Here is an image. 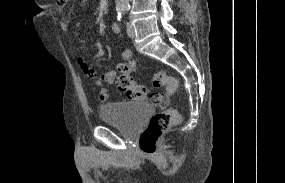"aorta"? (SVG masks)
Wrapping results in <instances>:
<instances>
[{"mask_svg":"<svg viewBox=\"0 0 285 183\" xmlns=\"http://www.w3.org/2000/svg\"><path fill=\"white\" fill-rule=\"evenodd\" d=\"M130 0H116V8L118 10H124L129 7Z\"/></svg>","mask_w":285,"mask_h":183,"instance_id":"762f6f07","label":"aorta"}]
</instances>
